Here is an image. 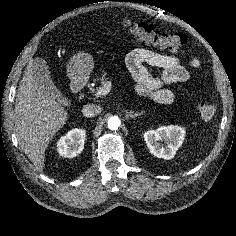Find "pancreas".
<instances>
[{
    "label": "pancreas",
    "instance_id": "obj_1",
    "mask_svg": "<svg viewBox=\"0 0 236 236\" xmlns=\"http://www.w3.org/2000/svg\"><path fill=\"white\" fill-rule=\"evenodd\" d=\"M107 80H108L107 72L102 71L101 76H97L94 79V82H98V83H100L101 86H103ZM96 90H98V88ZM94 91H95V89H92V92H94Z\"/></svg>",
    "mask_w": 236,
    "mask_h": 236
}]
</instances>
